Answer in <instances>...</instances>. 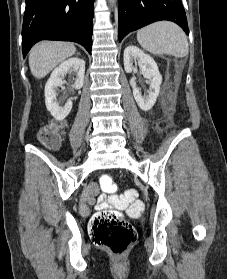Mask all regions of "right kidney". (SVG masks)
<instances>
[{
    "mask_svg": "<svg viewBox=\"0 0 227 279\" xmlns=\"http://www.w3.org/2000/svg\"><path fill=\"white\" fill-rule=\"evenodd\" d=\"M70 72L76 73L73 88L80 89L84 83L85 61L77 57L67 59L55 68L45 85L46 108L56 120L65 119L73 106L71 100H67L64 106H60L56 99L58 95L56 89L63 86L65 83L63 78Z\"/></svg>",
    "mask_w": 227,
    "mask_h": 279,
    "instance_id": "1",
    "label": "right kidney"
}]
</instances>
